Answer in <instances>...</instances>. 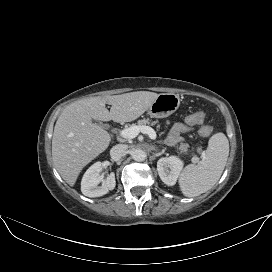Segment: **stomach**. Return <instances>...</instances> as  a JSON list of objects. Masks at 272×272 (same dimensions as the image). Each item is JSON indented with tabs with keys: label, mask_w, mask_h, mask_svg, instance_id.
<instances>
[{
	"label": "stomach",
	"mask_w": 272,
	"mask_h": 272,
	"mask_svg": "<svg viewBox=\"0 0 272 272\" xmlns=\"http://www.w3.org/2000/svg\"><path fill=\"white\" fill-rule=\"evenodd\" d=\"M180 105V98L174 93L159 94L148 109V114L154 118H165L174 113Z\"/></svg>",
	"instance_id": "stomach-1"
}]
</instances>
